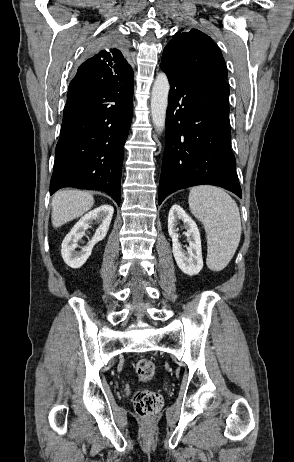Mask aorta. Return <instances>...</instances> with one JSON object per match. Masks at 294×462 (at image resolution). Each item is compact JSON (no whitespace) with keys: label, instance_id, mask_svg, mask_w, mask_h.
<instances>
[{"label":"aorta","instance_id":"obj_1","mask_svg":"<svg viewBox=\"0 0 294 462\" xmlns=\"http://www.w3.org/2000/svg\"><path fill=\"white\" fill-rule=\"evenodd\" d=\"M169 89L167 75L165 73L157 74L152 87L151 116L158 133H161L165 127Z\"/></svg>","mask_w":294,"mask_h":462}]
</instances>
